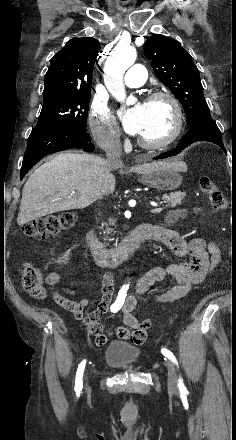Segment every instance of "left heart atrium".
<instances>
[{
  "label": "left heart atrium",
  "mask_w": 236,
  "mask_h": 440,
  "mask_svg": "<svg viewBox=\"0 0 236 440\" xmlns=\"http://www.w3.org/2000/svg\"><path fill=\"white\" fill-rule=\"evenodd\" d=\"M146 120V107L144 103H138L125 112L123 116L124 127L128 134L139 135Z\"/></svg>",
  "instance_id": "left-heart-atrium-1"
}]
</instances>
